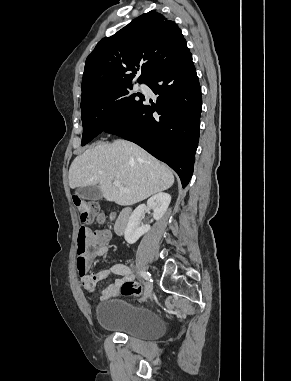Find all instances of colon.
I'll use <instances>...</instances> for the list:
<instances>
[{"instance_id":"1","label":"colon","mask_w":291,"mask_h":381,"mask_svg":"<svg viewBox=\"0 0 291 381\" xmlns=\"http://www.w3.org/2000/svg\"><path fill=\"white\" fill-rule=\"evenodd\" d=\"M73 202L79 212L82 221L103 222L105 220V214L100 210L99 206L96 203L90 202L81 197H75ZM88 242V229L81 227L79 229L77 238L78 266L80 269L87 268ZM120 292L124 296L139 295L141 293V287L135 282L128 281L121 286Z\"/></svg>"}]
</instances>
